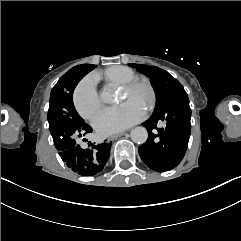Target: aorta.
I'll list each match as a JSON object with an SVG mask.
<instances>
[{"instance_id": "aorta-1", "label": "aorta", "mask_w": 241, "mask_h": 241, "mask_svg": "<svg viewBox=\"0 0 241 241\" xmlns=\"http://www.w3.org/2000/svg\"><path fill=\"white\" fill-rule=\"evenodd\" d=\"M100 98L104 103H114L117 99L115 88L112 86L104 87L100 93ZM131 140L137 144H144L148 139V132L145 127H135L130 132Z\"/></svg>"}]
</instances>
